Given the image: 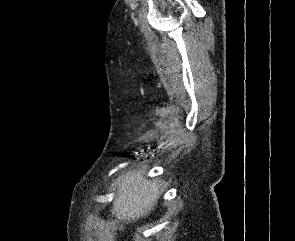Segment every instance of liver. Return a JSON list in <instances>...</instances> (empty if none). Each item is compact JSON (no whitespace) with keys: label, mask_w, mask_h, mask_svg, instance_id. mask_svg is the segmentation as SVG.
<instances>
[{"label":"liver","mask_w":295,"mask_h":241,"mask_svg":"<svg viewBox=\"0 0 295 241\" xmlns=\"http://www.w3.org/2000/svg\"><path fill=\"white\" fill-rule=\"evenodd\" d=\"M159 183L144 177L142 171L127 173L118 182L112 216L119 220H135L154 209L159 199Z\"/></svg>","instance_id":"6515ba94"}]
</instances>
